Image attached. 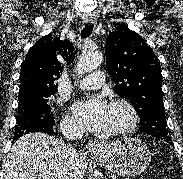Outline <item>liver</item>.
<instances>
[{"mask_svg": "<svg viewBox=\"0 0 183 179\" xmlns=\"http://www.w3.org/2000/svg\"><path fill=\"white\" fill-rule=\"evenodd\" d=\"M68 147L62 140L45 133H29L10 149L4 179H68ZM81 170H87L86 157L80 154Z\"/></svg>", "mask_w": 183, "mask_h": 179, "instance_id": "liver-1", "label": "liver"}]
</instances>
